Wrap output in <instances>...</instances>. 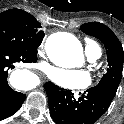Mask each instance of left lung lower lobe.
I'll return each instance as SVG.
<instances>
[{"mask_svg":"<svg viewBox=\"0 0 124 124\" xmlns=\"http://www.w3.org/2000/svg\"><path fill=\"white\" fill-rule=\"evenodd\" d=\"M49 99L50 115L56 124H94L109 108L114 94L95 86L75 99L70 90L47 82L44 85Z\"/></svg>","mask_w":124,"mask_h":124,"instance_id":"0a47b994","label":"left lung lower lobe"}]
</instances>
